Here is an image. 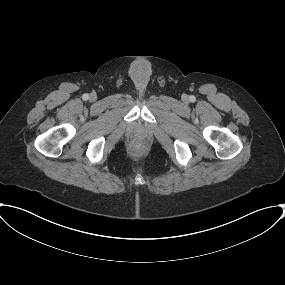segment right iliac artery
<instances>
[{"instance_id":"1","label":"right iliac artery","mask_w":285,"mask_h":285,"mask_svg":"<svg viewBox=\"0 0 285 285\" xmlns=\"http://www.w3.org/2000/svg\"><path fill=\"white\" fill-rule=\"evenodd\" d=\"M82 98H83L84 100H88V99H89V95H88V94H84V95L82 96Z\"/></svg>"}]
</instances>
